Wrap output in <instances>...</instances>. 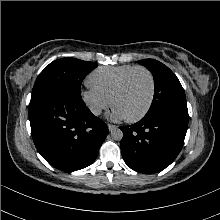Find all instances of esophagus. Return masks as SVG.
<instances>
[{
  "mask_svg": "<svg viewBox=\"0 0 220 220\" xmlns=\"http://www.w3.org/2000/svg\"><path fill=\"white\" fill-rule=\"evenodd\" d=\"M108 129H109L110 131H113V130L117 129V126L112 125V124H108Z\"/></svg>",
  "mask_w": 220,
  "mask_h": 220,
  "instance_id": "1",
  "label": "esophagus"
}]
</instances>
